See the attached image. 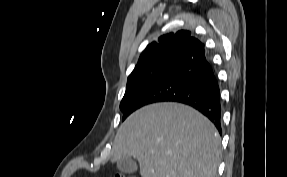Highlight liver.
<instances>
[{"label": "liver", "mask_w": 287, "mask_h": 177, "mask_svg": "<svg viewBox=\"0 0 287 177\" xmlns=\"http://www.w3.org/2000/svg\"><path fill=\"white\" fill-rule=\"evenodd\" d=\"M220 146L215 126L195 109L155 103L121 124L111 160L136 158L142 177H216Z\"/></svg>", "instance_id": "6515ba94"}]
</instances>
